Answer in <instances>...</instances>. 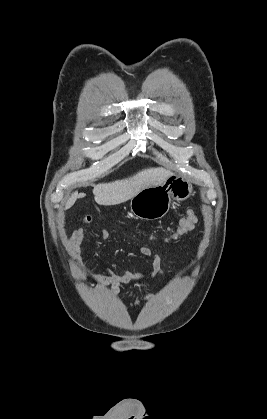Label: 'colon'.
I'll list each match as a JSON object with an SVG mask.
<instances>
[{"label": "colon", "mask_w": 267, "mask_h": 419, "mask_svg": "<svg viewBox=\"0 0 267 419\" xmlns=\"http://www.w3.org/2000/svg\"><path fill=\"white\" fill-rule=\"evenodd\" d=\"M197 221V217L193 211H189L185 217L179 221L177 230L174 232L172 239H177L188 233Z\"/></svg>", "instance_id": "5ec220e1"}]
</instances>
